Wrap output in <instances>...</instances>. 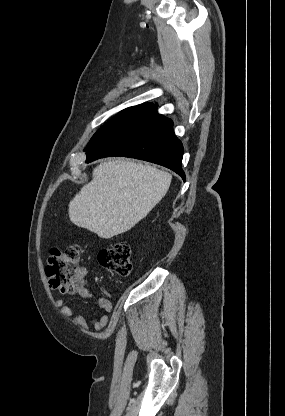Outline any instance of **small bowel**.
Listing matches in <instances>:
<instances>
[{"mask_svg":"<svg viewBox=\"0 0 285 416\" xmlns=\"http://www.w3.org/2000/svg\"><path fill=\"white\" fill-rule=\"evenodd\" d=\"M83 276L86 274V270L83 269ZM78 295L83 299H88L94 301L99 308H101L106 313H109L112 309L111 301L102 296H95L84 283L79 290L77 291ZM55 304L60 307L62 314L68 318L72 323L79 326L83 331H89V324H91L96 331L102 330L108 323L107 314H102L97 318L87 320L84 316L78 315L74 308L65 304V301L58 299L55 301Z\"/></svg>","mask_w":285,"mask_h":416,"instance_id":"small-bowel-1","label":"small bowel"}]
</instances>
